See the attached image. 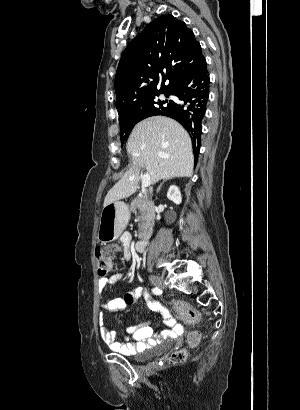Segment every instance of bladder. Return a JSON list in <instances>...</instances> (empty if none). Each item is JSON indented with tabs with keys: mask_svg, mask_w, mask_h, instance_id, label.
<instances>
[{
	"mask_svg": "<svg viewBox=\"0 0 300 410\" xmlns=\"http://www.w3.org/2000/svg\"><path fill=\"white\" fill-rule=\"evenodd\" d=\"M170 342H171V341L168 340V341H166V344H169ZM154 350H155V349H154ZM154 350H149V351L143 352V353H141V354H137V355H135V359H136L137 361L147 360V359H149V358L152 356Z\"/></svg>",
	"mask_w": 300,
	"mask_h": 410,
	"instance_id": "obj_1",
	"label": "bladder"
}]
</instances>
